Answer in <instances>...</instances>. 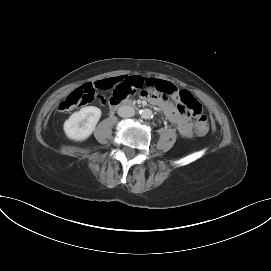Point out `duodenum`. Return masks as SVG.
Returning a JSON list of instances; mask_svg holds the SVG:
<instances>
[{
  "instance_id": "410a0bca",
  "label": "duodenum",
  "mask_w": 271,
  "mask_h": 271,
  "mask_svg": "<svg viewBox=\"0 0 271 271\" xmlns=\"http://www.w3.org/2000/svg\"><path fill=\"white\" fill-rule=\"evenodd\" d=\"M124 105H128V106H133L134 107V105L131 102H129V101H127V102H112V100L110 101V107L112 109H115V108H118V107L124 106Z\"/></svg>"
}]
</instances>
